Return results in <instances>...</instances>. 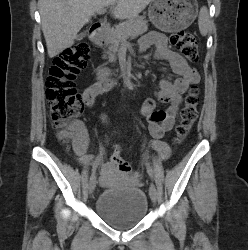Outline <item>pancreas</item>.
Wrapping results in <instances>:
<instances>
[{
	"instance_id": "cf45deb5",
	"label": "pancreas",
	"mask_w": 248,
	"mask_h": 250,
	"mask_svg": "<svg viewBox=\"0 0 248 250\" xmlns=\"http://www.w3.org/2000/svg\"><path fill=\"white\" fill-rule=\"evenodd\" d=\"M148 30V22L143 16L132 18L128 21L116 25L109 31L108 39L111 44L109 47V60L115 61V53L118 52L120 43L130 36H139Z\"/></svg>"
}]
</instances>
